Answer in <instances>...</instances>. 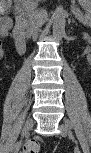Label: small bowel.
Segmentation results:
<instances>
[{
  "mask_svg": "<svg viewBox=\"0 0 91 153\" xmlns=\"http://www.w3.org/2000/svg\"><path fill=\"white\" fill-rule=\"evenodd\" d=\"M0 35H1L2 37L6 36V35H7V31L4 30L3 28H1V30H0Z\"/></svg>",
  "mask_w": 91,
  "mask_h": 153,
  "instance_id": "1",
  "label": "small bowel"
}]
</instances>
